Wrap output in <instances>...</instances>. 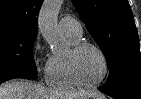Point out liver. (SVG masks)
I'll use <instances>...</instances> for the list:
<instances>
[{"label":"liver","mask_w":141,"mask_h":99,"mask_svg":"<svg viewBox=\"0 0 141 99\" xmlns=\"http://www.w3.org/2000/svg\"><path fill=\"white\" fill-rule=\"evenodd\" d=\"M105 99L100 92H63L46 88L28 80H12L0 86V99Z\"/></svg>","instance_id":"obj_1"}]
</instances>
